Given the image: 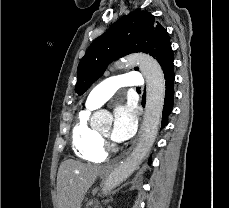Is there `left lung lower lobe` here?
<instances>
[{
  "mask_svg": "<svg viewBox=\"0 0 229 208\" xmlns=\"http://www.w3.org/2000/svg\"><path fill=\"white\" fill-rule=\"evenodd\" d=\"M163 72L165 78L166 94H165L163 114H162V128L167 125L168 116L171 113L173 108L174 78H175L173 60L169 61V63L167 64ZM142 105L143 106L145 105V97H143ZM150 163H151V158L149 159V164Z\"/></svg>",
  "mask_w": 229,
  "mask_h": 208,
  "instance_id": "1",
  "label": "left lung lower lobe"
}]
</instances>
